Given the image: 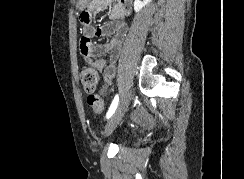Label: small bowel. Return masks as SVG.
Wrapping results in <instances>:
<instances>
[{"label":"small bowel","instance_id":"small-bowel-1","mask_svg":"<svg viewBox=\"0 0 244 179\" xmlns=\"http://www.w3.org/2000/svg\"><path fill=\"white\" fill-rule=\"evenodd\" d=\"M85 17L79 18L82 35L80 41V52L84 61L95 70L99 71L103 77L104 92L112 83L115 76L116 65L123 54V44L125 42L128 25L125 21L127 14V4L122 1L92 0L86 3ZM109 7L111 19L107 23L92 27V20L96 14L105 12ZM93 37H111L106 43L92 44ZM109 55V61L104 57ZM138 115H145V110H138ZM132 121H140V116H132Z\"/></svg>","mask_w":244,"mask_h":179}]
</instances>
